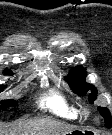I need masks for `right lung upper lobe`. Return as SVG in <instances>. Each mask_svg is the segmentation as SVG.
<instances>
[{
    "label": "right lung upper lobe",
    "instance_id": "cb5924a9",
    "mask_svg": "<svg viewBox=\"0 0 112 135\" xmlns=\"http://www.w3.org/2000/svg\"><path fill=\"white\" fill-rule=\"evenodd\" d=\"M6 72H7V74H10V73H11V71H10V70H8V69L6 70Z\"/></svg>",
    "mask_w": 112,
    "mask_h": 135
}]
</instances>
